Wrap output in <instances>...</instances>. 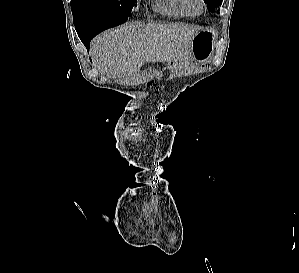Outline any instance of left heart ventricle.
I'll use <instances>...</instances> for the list:
<instances>
[{"label":"left heart ventricle","mask_w":299,"mask_h":273,"mask_svg":"<svg viewBox=\"0 0 299 273\" xmlns=\"http://www.w3.org/2000/svg\"><path fill=\"white\" fill-rule=\"evenodd\" d=\"M193 6L196 10L199 9V4L196 1L193 2Z\"/></svg>","instance_id":"obj_1"}]
</instances>
